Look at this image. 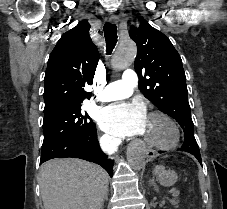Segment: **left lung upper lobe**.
Masks as SVG:
<instances>
[{
  "mask_svg": "<svg viewBox=\"0 0 227 209\" xmlns=\"http://www.w3.org/2000/svg\"><path fill=\"white\" fill-rule=\"evenodd\" d=\"M129 35L137 44L134 67L140 91L182 127L185 139L181 150L200 154L180 55L169 38L144 19L138 28L131 26Z\"/></svg>",
  "mask_w": 227,
  "mask_h": 209,
  "instance_id": "left-lung-upper-lobe-1",
  "label": "left lung upper lobe"
}]
</instances>
